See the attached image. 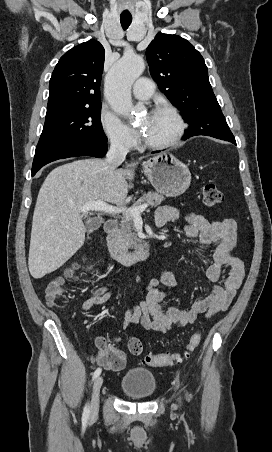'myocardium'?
Here are the masks:
<instances>
[{
    "label": "myocardium",
    "mask_w": 272,
    "mask_h": 452,
    "mask_svg": "<svg viewBox=\"0 0 272 452\" xmlns=\"http://www.w3.org/2000/svg\"><path fill=\"white\" fill-rule=\"evenodd\" d=\"M155 113H165L174 120V122H175L174 133L166 141L158 142V143H151V142H148V141L142 139L141 140L142 146L149 148V149H153V150H163V149H168L170 147L175 146L183 137L185 129H186V124H185L183 117L181 116V114L178 112V110L176 108H174L170 105L156 106L152 111V114H155Z\"/></svg>",
    "instance_id": "myocardium-1"
}]
</instances>
